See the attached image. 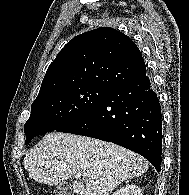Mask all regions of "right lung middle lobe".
Wrapping results in <instances>:
<instances>
[{"mask_svg":"<svg viewBox=\"0 0 189 195\" xmlns=\"http://www.w3.org/2000/svg\"><path fill=\"white\" fill-rule=\"evenodd\" d=\"M109 89L74 87L37 97L31 106V115L25 123V144L38 135L46 134L70 124L87 113Z\"/></svg>","mask_w":189,"mask_h":195,"instance_id":"1","label":"right lung middle lobe"}]
</instances>
